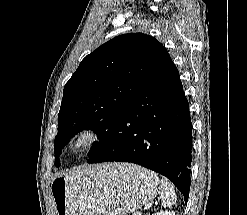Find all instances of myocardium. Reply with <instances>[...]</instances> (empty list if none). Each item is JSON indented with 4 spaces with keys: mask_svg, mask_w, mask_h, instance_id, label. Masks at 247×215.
Wrapping results in <instances>:
<instances>
[{
    "mask_svg": "<svg viewBox=\"0 0 247 215\" xmlns=\"http://www.w3.org/2000/svg\"><path fill=\"white\" fill-rule=\"evenodd\" d=\"M99 138V133L95 129L82 127L76 130L70 137L69 148L74 154H85L96 146Z\"/></svg>",
    "mask_w": 247,
    "mask_h": 215,
    "instance_id": "f54148a6",
    "label": "myocardium"
}]
</instances>
